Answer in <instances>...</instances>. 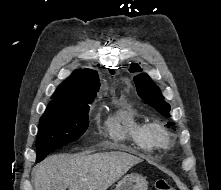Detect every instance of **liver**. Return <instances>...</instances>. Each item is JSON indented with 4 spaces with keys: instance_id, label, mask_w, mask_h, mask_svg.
Returning <instances> with one entry per match:
<instances>
[{
    "instance_id": "liver-1",
    "label": "liver",
    "mask_w": 221,
    "mask_h": 190,
    "mask_svg": "<svg viewBox=\"0 0 221 190\" xmlns=\"http://www.w3.org/2000/svg\"><path fill=\"white\" fill-rule=\"evenodd\" d=\"M140 162L122 151L51 155L34 167V190H107Z\"/></svg>"
}]
</instances>
